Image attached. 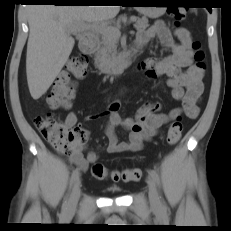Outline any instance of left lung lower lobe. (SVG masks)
Here are the masks:
<instances>
[{
    "label": "left lung lower lobe",
    "mask_w": 231,
    "mask_h": 231,
    "mask_svg": "<svg viewBox=\"0 0 231 231\" xmlns=\"http://www.w3.org/2000/svg\"><path fill=\"white\" fill-rule=\"evenodd\" d=\"M207 9L209 10V12H211L212 10H211V7H207Z\"/></svg>",
    "instance_id": "0a47b994"
}]
</instances>
